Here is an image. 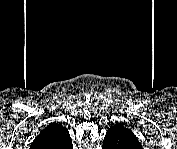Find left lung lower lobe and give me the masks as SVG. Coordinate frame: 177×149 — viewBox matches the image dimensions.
Returning <instances> with one entry per match:
<instances>
[{"mask_svg": "<svg viewBox=\"0 0 177 149\" xmlns=\"http://www.w3.org/2000/svg\"><path fill=\"white\" fill-rule=\"evenodd\" d=\"M122 146L118 138H106L103 142V148L107 149H117Z\"/></svg>", "mask_w": 177, "mask_h": 149, "instance_id": "obj_1", "label": "left lung lower lobe"}]
</instances>
